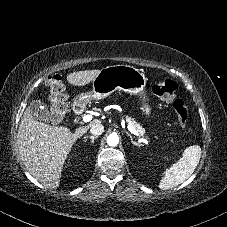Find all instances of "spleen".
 <instances>
[{"label": "spleen", "instance_id": "3e777b00", "mask_svg": "<svg viewBox=\"0 0 227 227\" xmlns=\"http://www.w3.org/2000/svg\"><path fill=\"white\" fill-rule=\"evenodd\" d=\"M201 153V148L198 145L186 148L180 160L165 170L159 182V188L167 190L178 186L188 179L196 169L201 158Z\"/></svg>", "mask_w": 227, "mask_h": 227}]
</instances>
